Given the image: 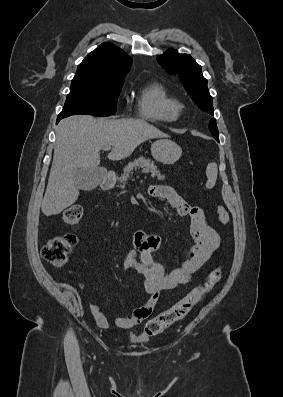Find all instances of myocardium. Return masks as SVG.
<instances>
[{"instance_id": "f54148a6", "label": "myocardium", "mask_w": 283, "mask_h": 397, "mask_svg": "<svg viewBox=\"0 0 283 397\" xmlns=\"http://www.w3.org/2000/svg\"><path fill=\"white\" fill-rule=\"evenodd\" d=\"M183 108H184L183 105H181V104H179V103L177 104V110H178V112L181 111Z\"/></svg>"}]
</instances>
